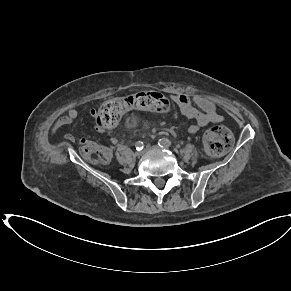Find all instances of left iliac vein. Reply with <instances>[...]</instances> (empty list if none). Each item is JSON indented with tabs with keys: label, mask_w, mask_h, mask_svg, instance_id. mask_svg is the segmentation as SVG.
I'll list each match as a JSON object with an SVG mask.
<instances>
[{
	"label": "left iliac vein",
	"mask_w": 291,
	"mask_h": 291,
	"mask_svg": "<svg viewBox=\"0 0 291 291\" xmlns=\"http://www.w3.org/2000/svg\"><path fill=\"white\" fill-rule=\"evenodd\" d=\"M153 149H160V147H159V146H148V147L145 149V151H147V150H153Z\"/></svg>",
	"instance_id": "left-iliac-vein-1"
}]
</instances>
